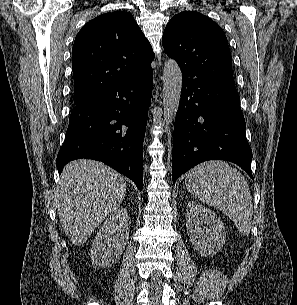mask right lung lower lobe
I'll return each instance as SVG.
<instances>
[{"label": "right lung lower lobe", "mask_w": 297, "mask_h": 305, "mask_svg": "<svg viewBox=\"0 0 297 305\" xmlns=\"http://www.w3.org/2000/svg\"><path fill=\"white\" fill-rule=\"evenodd\" d=\"M153 87V70L107 87L76 105L57 156L61 173L78 158L102 161L143 188V140Z\"/></svg>", "instance_id": "1"}]
</instances>
